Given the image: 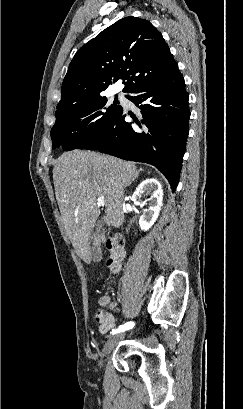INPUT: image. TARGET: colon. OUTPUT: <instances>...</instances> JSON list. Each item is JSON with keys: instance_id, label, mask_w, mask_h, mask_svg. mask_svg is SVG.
Returning a JSON list of instances; mask_svg holds the SVG:
<instances>
[{"instance_id": "obj_1", "label": "colon", "mask_w": 243, "mask_h": 409, "mask_svg": "<svg viewBox=\"0 0 243 409\" xmlns=\"http://www.w3.org/2000/svg\"><path fill=\"white\" fill-rule=\"evenodd\" d=\"M104 244L108 252L106 266L111 272L118 273L122 268L124 259V241L120 236L113 235L106 238ZM102 316L103 311L99 309L96 313V320L100 322Z\"/></svg>"}]
</instances>
